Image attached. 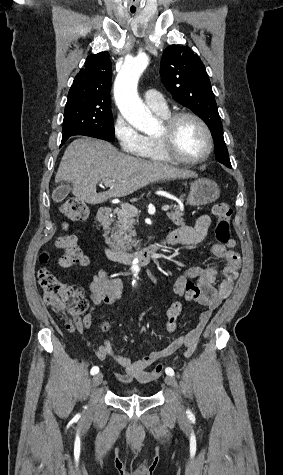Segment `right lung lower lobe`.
<instances>
[{"label": "right lung lower lobe", "mask_w": 283, "mask_h": 475, "mask_svg": "<svg viewBox=\"0 0 283 475\" xmlns=\"http://www.w3.org/2000/svg\"><path fill=\"white\" fill-rule=\"evenodd\" d=\"M69 137H62L61 145L68 139Z\"/></svg>", "instance_id": "98d812e1"}]
</instances>
